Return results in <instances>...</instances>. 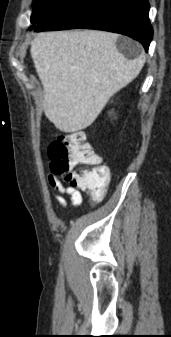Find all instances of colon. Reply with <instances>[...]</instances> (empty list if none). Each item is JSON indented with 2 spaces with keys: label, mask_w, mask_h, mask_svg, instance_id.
I'll list each match as a JSON object with an SVG mask.
<instances>
[{
  "label": "colon",
  "mask_w": 171,
  "mask_h": 337,
  "mask_svg": "<svg viewBox=\"0 0 171 337\" xmlns=\"http://www.w3.org/2000/svg\"><path fill=\"white\" fill-rule=\"evenodd\" d=\"M48 155L54 173L64 175L65 182L89 192L94 201L104 198L110 171L82 131L61 133L50 143Z\"/></svg>",
  "instance_id": "5ec220e1"
}]
</instances>
